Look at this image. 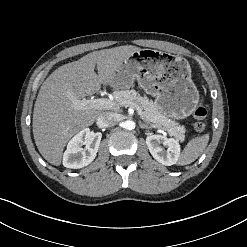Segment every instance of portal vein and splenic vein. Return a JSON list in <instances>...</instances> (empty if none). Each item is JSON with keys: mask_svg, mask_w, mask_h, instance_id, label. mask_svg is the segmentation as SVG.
I'll use <instances>...</instances> for the list:
<instances>
[{"mask_svg": "<svg viewBox=\"0 0 247 247\" xmlns=\"http://www.w3.org/2000/svg\"><path fill=\"white\" fill-rule=\"evenodd\" d=\"M72 102L76 108L79 109H100V110H107V109H118L119 104L116 101H112L110 99L106 98H97V99H82L77 100L75 98H72ZM126 106L134 107L140 117L143 119V113L141 108L133 102H127Z\"/></svg>", "mask_w": 247, "mask_h": 247, "instance_id": "1", "label": "portal vein and splenic vein"}]
</instances>
